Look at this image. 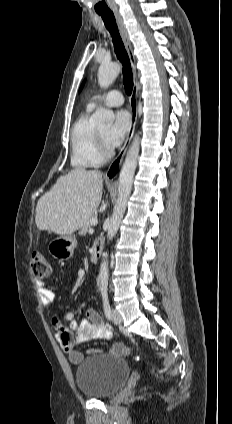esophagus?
<instances>
[{
    "label": "esophagus",
    "mask_w": 232,
    "mask_h": 424,
    "mask_svg": "<svg viewBox=\"0 0 232 424\" xmlns=\"http://www.w3.org/2000/svg\"><path fill=\"white\" fill-rule=\"evenodd\" d=\"M115 18H116V22L118 25V29L120 32V35L122 37L123 43L125 45L126 51L128 53L129 59H130V63H131V67H132V72H133V80H134V85H133V90H132V94L130 97V110H131V120H132V125H131V129L130 132L126 138V141L124 143V146L122 148V150L120 151L119 155L113 160V162L110 164L108 170L105 173V177L107 179H114L116 178V176L118 175V172L120 170L123 158L125 156V153L127 151V148L131 142V139L133 137L134 134V130H135V125H136V121H137V97H138V79H137V72H136V59L133 53V47L129 38V34L128 31L124 25V22L120 16V14L118 12L114 13Z\"/></svg>",
    "instance_id": "obj_1"
}]
</instances>
